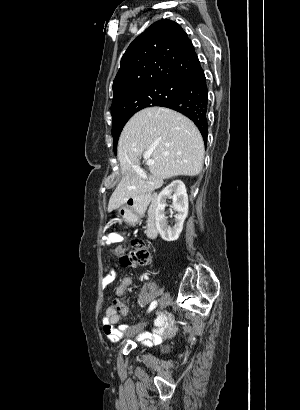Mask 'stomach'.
Here are the masks:
<instances>
[{"label": "stomach", "instance_id": "obj_1", "mask_svg": "<svg viewBox=\"0 0 300 410\" xmlns=\"http://www.w3.org/2000/svg\"><path fill=\"white\" fill-rule=\"evenodd\" d=\"M131 213H132L131 210H129L127 208H121L119 210V214L123 217H126V216L130 215Z\"/></svg>", "mask_w": 300, "mask_h": 410}]
</instances>
